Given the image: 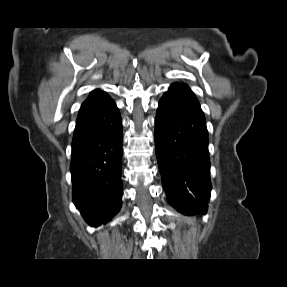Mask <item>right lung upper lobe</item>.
<instances>
[{
    "mask_svg": "<svg viewBox=\"0 0 287 287\" xmlns=\"http://www.w3.org/2000/svg\"><path fill=\"white\" fill-rule=\"evenodd\" d=\"M111 101V98L107 95L106 92L96 89L91 92L89 97L82 104L79 113H84L96 109L106 103Z\"/></svg>",
    "mask_w": 287,
    "mask_h": 287,
    "instance_id": "right-lung-upper-lobe-1",
    "label": "right lung upper lobe"
}]
</instances>
